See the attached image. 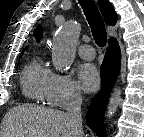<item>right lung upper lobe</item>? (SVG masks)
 I'll list each match as a JSON object with an SVG mask.
<instances>
[{"label": "right lung upper lobe", "instance_id": "right-lung-upper-lobe-1", "mask_svg": "<svg viewBox=\"0 0 144 137\" xmlns=\"http://www.w3.org/2000/svg\"><path fill=\"white\" fill-rule=\"evenodd\" d=\"M98 4H99L100 10L102 12V15L105 19V22L108 25L114 26L117 21V14L114 11L113 6L110 4V2L108 0H98ZM42 32H43V28L40 26L34 30V36H36L37 41H39L41 39ZM113 39L114 38H111L109 41H111ZM22 54H23V52L21 53V55Z\"/></svg>", "mask_w": 144, "mask_h": 137}]
</instances>
